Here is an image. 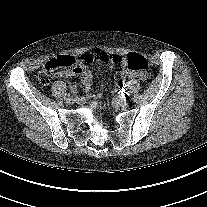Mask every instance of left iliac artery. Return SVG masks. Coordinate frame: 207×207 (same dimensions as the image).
I'll use <instances>...</instances> for the list:
<instances>
[{
    "instance_id": "44dca946",
    "label": "left iliac artery",
    "mask_w": 207,
    "mask_h": 207,
    "mask_svg": "<svg viewBox=\"0 0 207 207\" xmlns=\"http://www.w3.org/2000/svg\"><path fill=\"white\" fill-rule=\"evenodd\" d=\"M123 97H124L125 99H128V98L130 97V94H129L128 92H125V93L123 94Z\"/></svg>"
}]
</instances>
